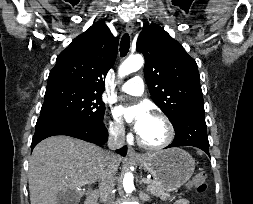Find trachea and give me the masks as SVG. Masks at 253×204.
<instances>
[{"label": "trachea", "mask_w": 253, "mask_h": 204, "mask_svg": "<svg viewBox=\"0 0 253 204\" xmlns=\"http://www.w3.org/2000/svg\"><path fill=\"white\" fill-rule=\"evenodd\" d=\"M129 48H130V38H129V35L126 33L121 38V42H120V55L122 57H124L128 53Z\"/></svg>", "instance_id": "1"}]
</instances>
